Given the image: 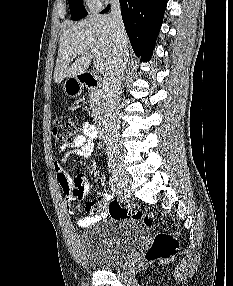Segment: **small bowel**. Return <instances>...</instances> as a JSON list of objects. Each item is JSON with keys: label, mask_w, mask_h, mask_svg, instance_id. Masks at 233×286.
<instances>
[{"label": "small bowel", "mask_w": 233, "mask_h": 286, "mask_svg": "<svg viewBox=\"0 0 233 286\" xmlns=\"http://www.w3.org/2000/svg\"><path fill=\"white\" fill-rule=\"evenodd\" d=\"M99 138L98 129L91 123L85 122L82 125V132L72 143L62 144L59 147L60 152H65L73 149L74 153L80 157H89L94 149L93 140ZM54 169L56 172L57 181L61 190L65 194V203L69 214L75 216V211L72 204L83 199L89 191V183L87 177L80 173L72 177L63 167L62 162L54 160ZM111 199L110 194H104L97 201L89 202L86 206V215L77 216L76 223L80 227H88L98 223L103 218V213L100 212L105 202Z\"/></svg>", "instance_id": "1"}]
</instances>
